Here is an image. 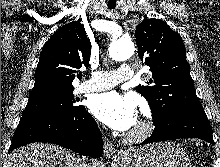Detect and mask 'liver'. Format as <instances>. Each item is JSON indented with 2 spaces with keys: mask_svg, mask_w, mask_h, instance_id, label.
<instances>
[{
  "mask_svg": "<svg viewBox=\"0 0 220 167\" xmlns=\"http://www.w3.org/2000/svg\"><path fill=\"white\" fill-rule=\"evenodd\" d=\"M79 158L70 151L52 144L32 143L13 151L6 167H77ZM94 161L92 167H97Z\"/></svg>",
  "mask_w": 220,
  "mask_h": 167,
  "instance_id": "1",
  "label": "liver"
}]
</instances>
